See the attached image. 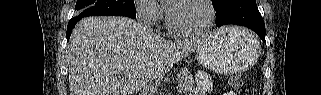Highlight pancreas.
Returning <instances> with one entry per match:
<instances>
[{"label":"pancreas","instance_id":"1","mask_svg":"<svg viewBox=\"0 0 321 95\" xmlns=\"http://www.w3.org/2000/svg\"><path fill=\"white\" fill-rule=\"evenodd\" d=\"M179 88L184 90H192L194 88L193 77L190 75L188 70H181L177 75Z\"/></svg>","mask_w":321,"mask_h":95}]
</instances>
